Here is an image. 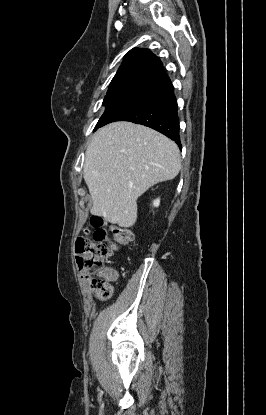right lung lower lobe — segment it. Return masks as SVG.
Returning <instances> with one entry per match:
<instances>
[{"label": "right lung lower lobe", "instance_id": "obj_1", "mask_svg": "<svg viewBox=\"0 0 266 415\" xmlns=\"http://www.w3.org/2000/svg\"><path fill=\"white\" fill-rule=\"evenodd\" d=\"M130 121L148 126L175 141L181 149L177 101L171 82L153 91L142 100L117 112L106 124ZM105 124V125H106Z\"/></svg>", "mask_w": 266, "mask_h": 415}]
</instances>
